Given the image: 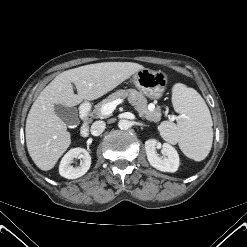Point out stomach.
I'll return each mask as SVG.
<instances>
[{
  "label": "stomach",
  "instance_id": "obj_1",
  "mask_svg": "<svg viewBox=\"0 0 247 247\" xmlns=\"http://www.w3.org/2000/svg\"><path fill=\"white\" fill-rule=\"evenodd\" d=\"M132 82L137 89L149 98L159 99L166 89L168 77L162 71L143 68L134 74Z\"/></svg>",
  "mask_w": 247,
  "mask_h": 247
}]
</instances>
